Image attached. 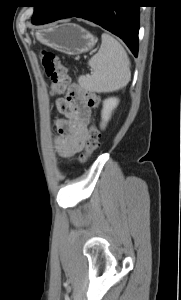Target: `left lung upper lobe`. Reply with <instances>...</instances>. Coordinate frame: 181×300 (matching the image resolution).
Here are the masks:
<instances>
[{
  "label": "left lung upper lobe",
  "mask_w": 181,
  "mask_h": 300,
  "mask_svg": "<svg viewBox=\"0 0 181 300\" xmlns=\"http://www.w3.org/2000/svg\"><path fill=\"white\" fill-rule=\"evenodd\" d=\"M35 4L32 23L40 25L54 10L57 0H34Z\"/></svg>",
  "instance_id": "5c2ea615"
}]
</instances>
